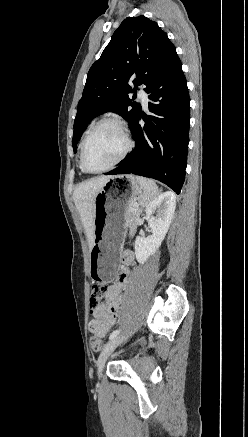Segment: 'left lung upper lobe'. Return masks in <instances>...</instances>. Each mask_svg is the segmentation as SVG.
I'll list each match as a JSON object with an SVG mask.
<instances>
[{
  "label": "left lung upper lobe",
  "mask_w": 248,
  "mask_h": 437,
  "mask_svg": "<svg viewBox=\"0 0 248 437\" xmlns=\"http://www.w3.org/2000/svg\"><path fill=\"white\" fill-rule=\"evenodd\" d=\"M177 57L175 46L156 22L143 15L123 20L88 72L74 121V152L86 125L102 113H118L131 129L141 112L131 93L141 84L147 92Z\"/></svg>",
  "instance_id": "obj_1"
}]
</instances>
